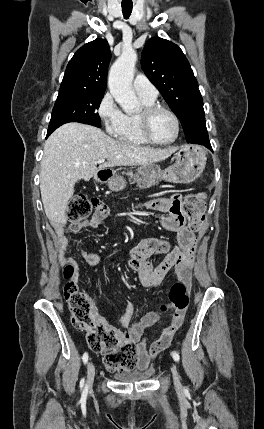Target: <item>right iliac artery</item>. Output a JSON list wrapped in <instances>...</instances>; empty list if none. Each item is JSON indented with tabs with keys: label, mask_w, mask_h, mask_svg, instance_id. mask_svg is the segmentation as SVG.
<instances>
[{
	"label": "right iliac artery",
	"mask_w": 264,
	"mask_h": 429,
	"mask_svg": "<svg viewBox=\"0 0 264 429\" xmlns=\"http://www.w3.org/2000/svg\"><path fill=\"white\" fill-rule=\"evenodd\" d=\"M82 359H83L84 364H86L88 361V353L87 352H85L83 354ZM82 382H84V380H82ZM85 390H87V386L85 387Z\"/></svg>",
	"instance_id": "82829eb1"
}]
</instances>
